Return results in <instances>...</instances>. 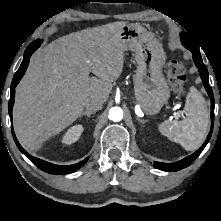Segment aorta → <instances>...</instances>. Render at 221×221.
Here are the masks:
<instances>
[{"label": "aorta", "mask_w": 221, "mask_h": 221, "mask_svg": "<svg viewBox=\"0 0 221 221\" xmlns=\"http://www.w3.org/2000/svg\"><path fill=\"white\" fill-rule=\"evenodd\" d=\"M108 118L114 122L121 121L123 118V110L120 107H112L109 110Z\"/></svg>", "instance_id": "1"}]
</instances>
